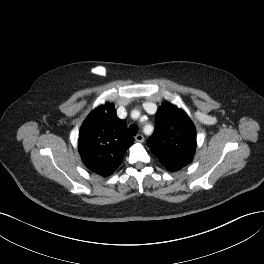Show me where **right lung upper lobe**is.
Instances as JSON below:
<instances>
[{
    "label": "right lung upper lobe",
    "instance_id": "obj_1",
    "mask_svg": "<svg viewBox=\"0 0 264 264\" xmlns=\"http://www.w3.org/2000/svg\"><path fill=\"white\" fill-rule=\"evenodd\" d=\"M133 144L113 104L96 108L83 123L78 149L86 167L101 176H110L116 170L125 152Z\"/></svg>",
    "mask_w": 264,
    "mask_h": 264
}]
</instances>
